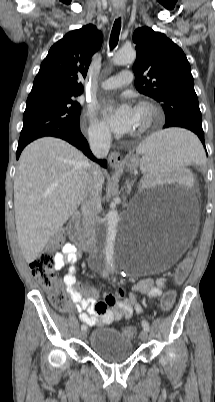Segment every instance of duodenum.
Segmentation results:
<instances>
[{
    "mask_svg": "<svg viewBox=\"0 0 215 402\" xmlns=\"http://www.w3.org/2000/svg\"><path fill=\"white\" fill-rule=\"evenodd\" d=\"M80 215L79 213H74L68 220L65 230L68 238L72 243H74L80 249L89 252L92 249V242L90 239L85 237L80 230ZM105 271V268L99 267Z\"/></svg>",
    "mask_w": 215,
    "mask_h": 402,
    "instance_id": "obj_1",
    "label": "duodenum"
}]
</instances>
